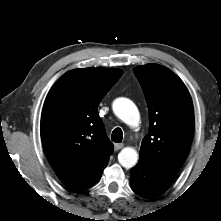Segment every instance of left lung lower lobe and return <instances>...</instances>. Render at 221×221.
I'll use <instances>...</instances> for the list:
<instances>
[{"label": "left lung lower lobe", "mask_w": 221, "mask_h": 221, "mask_svg": "<svg viewBox=\"0 0 221 221\" xmlns=\"http://www.w3.org/2000/svg\"><path fill=\"white\" fill-rule=\"evenodd\" d=\"M130 172L132 190L144 198H154L163 194L170 187L174 177L140 159Z\"/></svg>", "instance_id": "obj_1"}]
</instances>
